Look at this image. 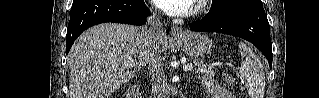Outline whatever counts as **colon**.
Segmentation results:
<instances>
[{
	"label": "colon",
	"mask_w": 319,
	"mask_h": 98,
	"mask_svg": "<svg viewBox=\"0 0 319 98\" xmlns=\"http://www.w3.org/2000/svg\"><path fill=\"white\" fill-rule=\"evenodd\" d=\"M225 79H226L228 82H233V79H232L229 75H225Z\"/></svg>",
	"instance_id": "5ec220e1"
}]
</instances>
